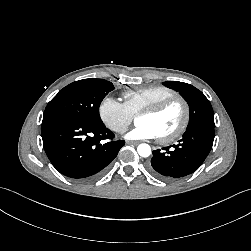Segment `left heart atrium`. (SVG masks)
I'll return each mask as SVG.
<instances>
[{
	"label": "left heart atrium",
	"instance_id": "obj_1",
	"mask_svg": "<svg viewBox=\"0 0 251 251\" xmlns=\"http://www.w3.org/2000/svg\"><path fill=\"white\" fill-rule=\"evenodd\" d=\"M125 137L130 140H148L159 136L152 126L138 123L125 135Z\"/></svg>",
	"mask_w": 251,
	"mask_h": 251
}]
</instances>
